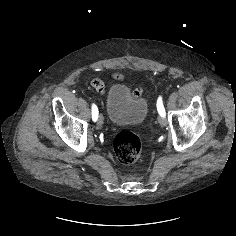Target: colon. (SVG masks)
Masks as SVG:
<instances>
[{"mask_svg":"<svg viewBox=\"0 0 236 236\" xmlns=\"http://www.w3.org/2000/svg\"><path fill=\"white\" fill-rule=\"evenodd\" d=\"M117 159L123 164H132L138 160L142 151L140 138L132 131L118 133L113 142Z\"/></svg>","mask_w":236,"mask_h":236,"instance_id":"obj_1","label":"colon"}]
</instances>
